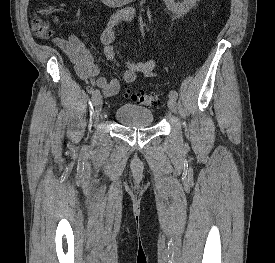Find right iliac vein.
<instances>
[{"label":"right iliac vein","instance_id":"63e3f726","mask_svg":"<svg viewBox=\"0 0 275 263\" xmlns=\"http://www.w3.org/2000/svg\"><path fill=\"white\" fill-rule=\"evenodd\" d=\"M95 118L98 119L102 110V98L99 96L95 104Z\"/></svg>","mask_w":275,"mask_h":263}]
</instances>
